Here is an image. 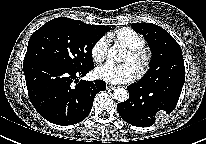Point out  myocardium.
<instances>
[{"label": "myocardium", "instance_id": "f54148a6", "mask_svg": "<svg viewBox=\"0 0 206 144\" xmlns=\"http://www.w3.org/2000/svg\"><path fill=\"white\" fill-rule=\"evenodd\" d=\"M128 53L135 64L138 77H143L150 68V54L143 48L129 49Z\"/></svg>", "mask_w": 206, "mask_h": 144}]
</instances>
